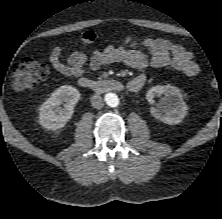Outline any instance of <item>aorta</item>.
<instances>
[{"label": "aorta", "mask_w": 222, "mask_h": 219, "mask_svg": "<svg viewBox=\"0 0 222 219\" xmlns=\"http://www.w3.org/2000/svg\"><path fill=\"white\" fill-rule=\"evenodd\" d=\"M106 104L110 107H116L119 104V98L114 93H107L105 95Z\"/></svg>", "instance_id": "obj_1"}]
</instances>
